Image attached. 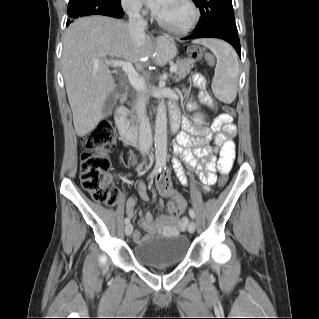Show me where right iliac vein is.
<instances>
[{
    "label": "right iliac vein",
    "mask_w": 319,
    "mask_h": 319,
    "mask_svg": "<svg viewBox=\"0 0 319 319\" xmlns=\"http://www.w3.org/2000/svg\"><path fill=\"white\" fill-rule=\"evenodd\" d=\"M133 231V225L131 223H128L126 226H125V234L127 236H130L131 233Z\"/></svg>",
    "instance_id": "1"
}]
</instances>
